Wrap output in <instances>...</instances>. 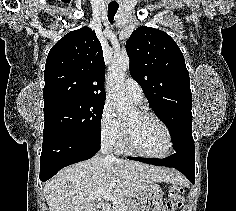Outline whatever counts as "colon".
<instances>
[{
	"instance_id": "colon-1",
	"label": "colon",
	"mask_w": 236,
	"mask_h": 211,
	"mask_svg": "<svg viewBox=\"0 0 236 211\" xmlns=\"http://www.w3.org/2000/svg\"><path fill=\"white\" fill-rule=\"evenodd\" d=\"M183 188L180 186H171L168 193V202L162 211H174L184 201Z\"/></svg>"
}]
</instances>
